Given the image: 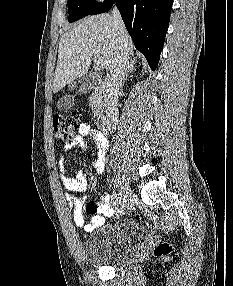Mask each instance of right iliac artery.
I'll return each instance as SVG.
<instances>
[{
	"label": "right iliac artery",
	"instance_id": "1",
	"mask_svg": "<svg viewBox=\"0 0 233 286\" xmlns=\"http://www.w3.org/2000/svg\"><path fill=\"white\" fill-rule=\"evenodd\" d=\"M121 197H120V193H117V192H113L112 194V202L114 205L118 204L119 201H120Z\"/></svg>",
	"mask_w": 233,
	"mask_h": 286
}]
</instances>
